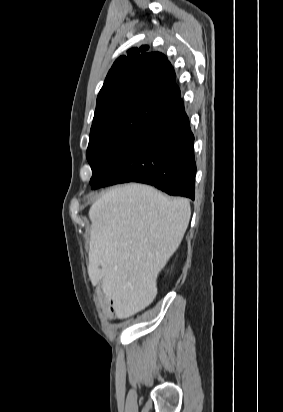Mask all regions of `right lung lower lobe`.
I'll return each mask as SVG.
<instances>
[{"label":"right lung lower lobe","instance_id":"right-lung-lower-lobe-1","mask_svg":"<svg viewBox=\"0 0 283 412\" xmlns=\"http://www.w3.org/2000/svg\"><path fill=\"white\" fill-rule=\"evenodd\" d=\"M169 73L165 71V80ZM194 136L181 96L121 155L92 189L140 182L176 196L194 199Z\"/></svg>","mask_w":283,"mask_h":412}]
</instances>
